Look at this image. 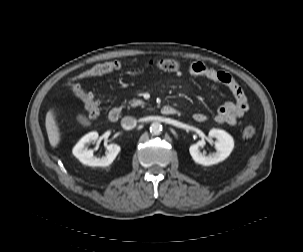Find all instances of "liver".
Wrapping results in <instances>:
<instances>
[{
  "mask_svg": "<svg viewBox=\"0 0 303 252\" xmlns=\"http://www.w3.org/2000/svg\"><path fill=\"white\" fill-rule=\"evenodd\" d=\"M46 130L51 146L54 148L57 147L61 140V134L52 111H50L46 117Z\"/></svg>",
  "mask_w": 303,
  "mask_h": 252,
  "instance_id": "6515ba94",
  "label": "liver"
}]
</instances>
